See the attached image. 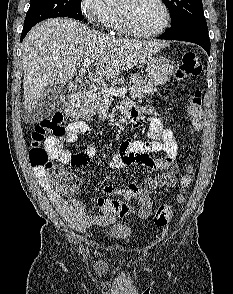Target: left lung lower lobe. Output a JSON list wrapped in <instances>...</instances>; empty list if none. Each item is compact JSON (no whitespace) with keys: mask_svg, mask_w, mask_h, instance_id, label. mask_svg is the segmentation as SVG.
Instances as JSON below:
<instances>
[{"mask_svg":"<svg viewBox=\"0 0 233 294\" xmlns=\"http://www.w3.org/2000/svg\"><path fill=\"white\" fill-rule=\"evenodd\" d=\"M165 40H180L196 43L210 54V39L207 27H186L177 31H167L159 36Z\"/></svg>","mask_w":233,"mask_h":294,"instance_id":"left-lung-lower-lobe-1","label":"left lung lower lobe"}]
</instances>
